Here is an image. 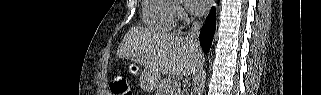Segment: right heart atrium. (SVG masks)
<instances>
[{"mask_svg":"<svg viewBox=\"0 0 321 95\" xmlns=\"http://www.w3.org/2000/svg\"><path fill=\"white\" fill-rule=\"evenodd\" d=\"M176 15L178 18H182V19L187 18L186 10L180 5H176Z\"/></svg>","mask_w":321,"mask_h":95,"instance_id":"1","label":"right heart atrium"}]
</instances>
